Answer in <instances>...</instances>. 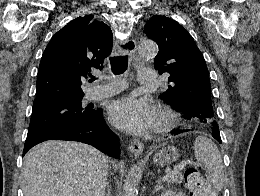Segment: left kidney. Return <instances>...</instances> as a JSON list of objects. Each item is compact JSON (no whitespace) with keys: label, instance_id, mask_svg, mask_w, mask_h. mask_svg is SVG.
<instances>
[{"label":"left kidney","instance_id":"1","mask_svg":"<svg viewBox=\"0 0 260 196\" xmlns=\"http://www.w3.org/2000/svg\"><path fill=\"white\" fill-rule=\"evenodd\" d=\"M161 196H186L183 192H174V190H165Z\"/></svg>","mask_w":260,"mask_h":196}]
</instances>
